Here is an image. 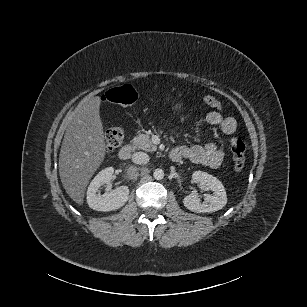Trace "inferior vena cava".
I'll use <instances>...</instances> for the list:
<instances>
[{
  "label": "inferior vena cava",
  "mask_w": 307,
  "mask_h": 307,
  "mask_svg": "<svg viewBox=\"0 0 307 307\" xmlns=\"http://www.w3.org/2000/svg\"><path fill=\"white\" fill-rule=\"evenodd\" d=\"M132 161L135 164H146L149 162V156L144 152H136L132 155Z\"/></svg>",
  "instance_id": "602c4592"
}]
</instances>
